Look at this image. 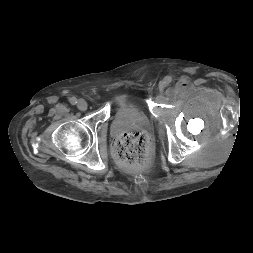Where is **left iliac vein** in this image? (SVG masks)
<instances>
[{
	"instance_id": "obj_1",
	"label": "left iliac vein",
	"mask_w": 253,
	"mask_h": 253,
	"mask_svg": "<svg viewBox=\"0 0 253 253\" xmlns=\"http://www.w3.org/2000/svg\"><path fill=\"white\" fill-rule=\"evenodd\" d=\"M165 87V83L162 81L159 83V89L162 90Z\"/></svg>"
}]
</instances>
